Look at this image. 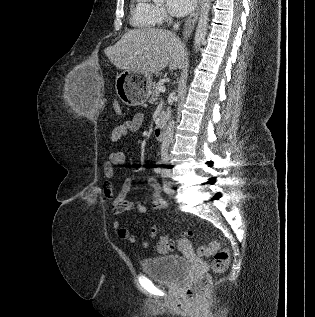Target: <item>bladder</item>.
<instances>
[{
  "label": "bladder",
  "instance_id": "bladder-1",
  "mask_svg": "<svg viewBox=\"0 0 315 317\" xmlns=\"http://www.w3.org/2000/svg\"><path fill=\"white\" fill-rule=\"evenodd\" d=\"M141 267L146 275L157 282L167 286H176L187 276L190 263L182 256L166 255L144 259Z\"/></svg>",
  "mask_w": 315,
  "mask_h": 317
}]
</instances>
